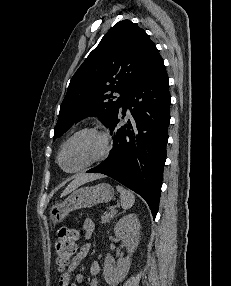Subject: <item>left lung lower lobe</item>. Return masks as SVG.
Instances as JSON below:
<instances>
[{"label": "left lung lower lobe", "mask_w": 231, "mask_h": 286, "mask_svg": "<svg viewBox=\"0 0 231 286\" xmlns=\"http://www.w3.org/2000/svg\"><path fill=\"white\" fill-rule=\"evenodd\" d=\"M170 103L169 80L161 58L122 97V115L129 108L131 117L120 126L118 110L109 125L114 135L111 154L87 171L110 176L141 195L154 218L166 160Z\"/></svg>", "instance_id": "obj_1"}]
</instances>
